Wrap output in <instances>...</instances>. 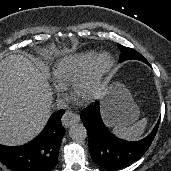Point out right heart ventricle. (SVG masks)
Here are the masks:
<instances>
[{
    "label": "right heart ventricle",
    "instance_id": "obj_1",
    "mask_svg": "<svg viewBox=\"0 0 171 171\" xmlns=\"http://www.w3.org/2000/svg\"><path fill=\"white\" fill-rule=\"evenodd\" d=\"M94 56V52L88 51L66 56L57 61L53 70L55 83L63 88L70 86L75 78L88 67Z\"/></svg>",
    "mask_w": 171,
    "mask_h": 171
}]
</instances>
